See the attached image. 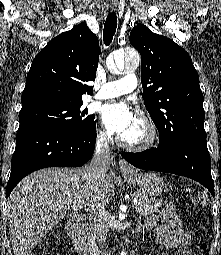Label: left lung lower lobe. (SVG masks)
Listing matches in <instances>:
<instances>
[{
    "label": "left lung lower lobe",
    "mask_w": 221,
    "mask_h": 255,
    "mask_svg": "<svg viewBox=\"0 0 221 255\" xmlns=\"http://www.w3.org/2000/svg\"><path fill=\"white\" fill-rule=\"evenodd\" d=\"M122 157L144 170L174 173L196 180L214 195L206 138L189 137L172 146L159 143L156 149L124 152Z\"/></svg>",
    "instance_id": "1"
}]
</instances>
